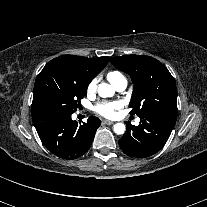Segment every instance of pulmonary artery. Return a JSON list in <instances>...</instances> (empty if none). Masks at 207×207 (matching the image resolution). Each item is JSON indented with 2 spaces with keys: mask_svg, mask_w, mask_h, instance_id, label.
<instances>
[{
  "mask_svg": "<svg viewBox=\"0 0 207 207\" xmlns=\"http://www.w3.org/2000/svg\"><path fill=\"white\" fill-rule=\"evenodd\" d=\"M113 86L117 92L121 93L127 88V81L125 78H120L113 84Z\"/></svg>",
  "mask_w": 207,
  "mask_h": 207,
  "instance_id": "1",
  "label": "pulmonary artery"
}]
</instances>
